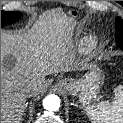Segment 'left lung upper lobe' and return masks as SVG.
Masks as SVG:
<instances>
[{
  "instance_id": "left-lung-upper-lobe-1",
  "label": "left lung upper lobe",
  "mask_w": 123,
  "mask_h": 123,
  "mask_svg": "<svg viewBox=\"0 0 123 123\" xmlns=\"http://www.w3.org/2000/svg\"><path fill=\"white\" fill-rule=\"evenodd\" d=\"M115 37H116L118 46L123 50V20L120 17L116 18Z\"/></svg>"
}]
</instances>
